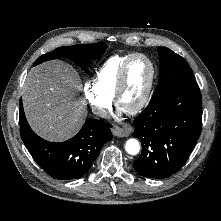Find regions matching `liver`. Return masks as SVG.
Segmentation results:
<instances>
[{
    "label": "liver",
    "instance_id": "1",
    "mask_svg": "<svg viewBox=\"0 0 221 221\" xmlns=\"http://www.w3.org/2000/svg\"><path fill=\"white\" fill-rule=\"evenodd\" d=\"M79 74L69 64L53 60L33 68L22 89L27 121L40 137L61 142L73 137L84 123L85 101Z\"/></svg>",
    "mask_w": 221,
    "mask_h": 221
}]
</instances>
